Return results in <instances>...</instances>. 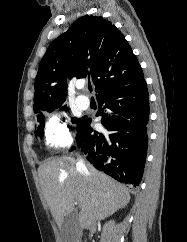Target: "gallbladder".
Here are the masks:
<instances>
[{"label": "gallbladder", "instance_id": "gallbladder-1", "mask_svg": "<svg viewBox=\"0 0 187 242\" xmlns=\"http://www.w3.org/2000/svg\"><path fill=\"white\" fill-rule=\"evenodd\" d=\"M61 242H76L78 238V217L76 213L67 215L60 228Z\"/></svg>", "mask_w": 187, "mask_h": 242}]
</instances>
